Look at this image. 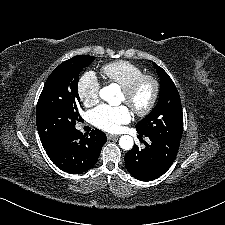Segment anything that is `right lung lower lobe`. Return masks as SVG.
<instances>
[{"instance_id": "98d812e1", "label": "right lung lower lobe", "mask_w": 225, "mask_h": 225, "mask_svg": "<svg viewBox=\"0 0 225 225\" xmlns=\"http://www.w3.org/2000/svg\"><path fill=\"white\" fill-rule=\"evenodd\" d=\"M106 141V134L98 129L92 130L89 136L74 129L44 148L58 168L70 174H79L95 165Z\"/></svg>"}]
</instances>
